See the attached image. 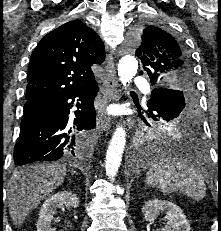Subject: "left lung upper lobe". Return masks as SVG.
<instances>
[{
	"label": "left lung upper lobe",
	"instance_id": "obj_1",
	"mask_svg": "<svg viewBox=\"0 0 221 231\" xmlns=\"http://www.w3.org/2000/svg\"><path fill=\"white\" fill-rule=\"evenodd\" d=\"M136 56L141 60L144 70L152 84L159 87L167 85L176 98L175 102L161 105L147 103L149 116L155 121H162L165 115L179 116L185 102L193 105L196 102V87L191 57L184 46L174 35L157 25H146L134 35ZM177 106V107H176Z\"/></svg>",
	"mask_w": 221,
	"mask_h": 231
}]
</instances>
